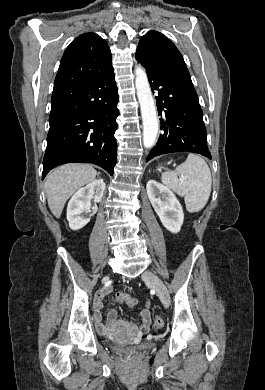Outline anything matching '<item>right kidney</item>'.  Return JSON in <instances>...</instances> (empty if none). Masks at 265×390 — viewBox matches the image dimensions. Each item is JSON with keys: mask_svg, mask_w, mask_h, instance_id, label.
Wrapping results in <instances>:
<instances>
[{"mask_svg": "<svg viewBox=\"0 0 265 390\" xmlns=\"http://www.w3.org/2000/svg\"><path fill=\"white\" fill-rule=\"evenodd\" d=\"M103 179H98L79 189L70 199L67 206V220L72 230L83 228L91 219V199L101 201L105 190Z\"/></svg>", "mask_w": 265, "mask_h": 390, "instance_id": "right-kidney-1", "label": "right kidney"}]
</instances>
